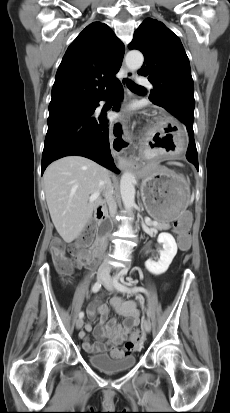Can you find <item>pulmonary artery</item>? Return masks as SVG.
Here are the masks:
<instances>
[{"label":"pulmonary artery","mask_w":230,"mask_h":413,"mask_svg":"<svg viewBox=\"0 0 230 413\" xmlns=\"http://www.w3.org/2000/svg\"><path fill=\"white\" fill-rule=\"evenodd\" d=\"M138 82H139L140 84L150 85V82H149L148 78L145 77V76H140V77L138 78Z\"/></svg>","instance_id":"obj_1"}]
</instances>
